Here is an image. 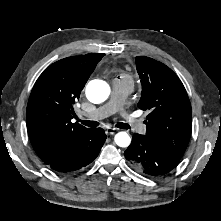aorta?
Returning a JSON list of instances; mask_svg holds the SVG:
<instances>
[{
  "mask_svg": "<svg viewBox=\"0 0 221 221\" xmlns=\"http://www.w3.org/2000/svg\"><path fill=\"white\" fill-rule=\"evenodd\" d=\"M109 95L110 87L103 80H92L86 86V96L92 103H102L109 97ZM114 140L120 147H128L131 143V138L126 132L117 133Z\"/></svg>",
  "mask_w": 221,
  "mask_h": 221,
  "instance_id": "obj_1",
  "label": "aorta"
}]
</instances>
